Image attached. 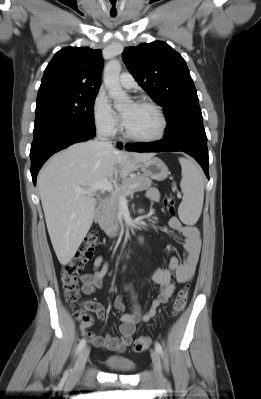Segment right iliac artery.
Returning a JSON list of instances; mask_svg holds the SVG:
<instances>
[{
    "label": "right iliac artery",
    "mask_w": 261,
    "mask_h": 399,
    "mask_svg": "<svg viewBox=\"0 0 261 399\" xmlns=\"http://www.w3.org/2000/svg\"><path fill=\"white\" fill-rule=\"evenodd\" d=\"M85 345H86V339L83 338V339L79 342V344H78V346H77L76 354H78V353L84 348Z\"/></svg>",
    "instance_id": "82829eb1"
}]
</instances>
